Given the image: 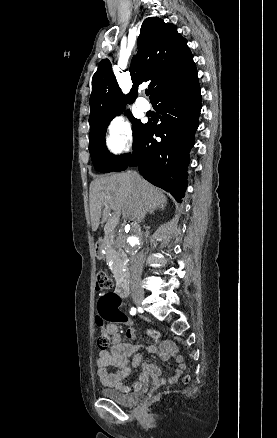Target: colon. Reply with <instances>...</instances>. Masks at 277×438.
<instances>
[{"label":"colon","mask_w":277,"mask_h":438,"mask_svg":"<svg viewBox=\"0 0 277 438\" xmlns=\"http://www.w3.org/2000/svg\"><path fill=\"white\" fill-rule=\"evenodd\" d=\"M113 283V280L111 278V276L106 273L105 271H97L96 275H95V287H96V291L100 292L103 290L108 289V284ZM116 284V283H115ZM118 299V298H117ZM103 325H105V320L101 321L98 319V316L96 318V326L98 328H101ZM147 333L154 337V338H159L160 337V332L156 329L153 328H148L146 329ZM112 342V335L109 333H100L98 335V337L96 338V345L99 349L103 350L106 347H108L110 345V343ZM184 382L189 381V376H185L183 378Z\"/></svg>","instance_id":"colon-1"}]
</instances>
